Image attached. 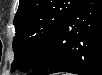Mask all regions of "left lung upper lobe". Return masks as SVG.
Returning <instances> with one entry per match:
<instances>
[{
  "mask_svg": "<svg viewBox=\"0 0 102 75\" xmlns=\"http://www.w3.org/2000/svg\"><path fill=\"white\" fill-rule=\"evenodd\" d=\"M82 0H20L14 18L15 53L11 71H30L37 63L45 44L58 26Z\"/></svg>",
  "mask_w": 102,
  "mask_h": 75,
  "instance_id": "1",
  "label": "left lung upper lobe"
}]
</instances>
